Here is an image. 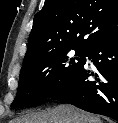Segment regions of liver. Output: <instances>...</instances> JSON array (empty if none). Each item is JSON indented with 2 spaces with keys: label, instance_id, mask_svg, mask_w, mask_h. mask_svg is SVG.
I'll return each instance as SVG.
<instances>
[{
  "label": "liver",
  "instance_id": "6515ba94",
  "mask_svg": "<svg viewBox=\"0 0 118 123\" xmlns=\"http://www.w3.org/2000/svg\"><path fill=\"white\" fill-rule=\"evenodd\" d=\"M10 123H102L99 117L72 105H58L41 112H29Z\"/></svg>",
  "mask_w": 118,
  "mask_h": 123
}]
</instances>
